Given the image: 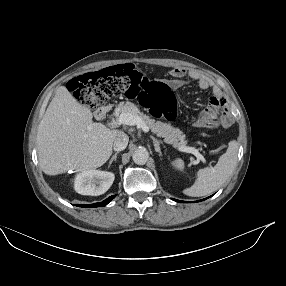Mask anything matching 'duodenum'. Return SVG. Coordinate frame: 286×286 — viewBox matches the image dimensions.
<instances>
[{
	"label": "duodenum",
	"instance_id": "1",
	"mask_svg": "<svg viewBox=\"0 0 286 286\" xmlns=\"http://www.w3.org/2000/svg\"><path fill=\"white\" fill-rule=\"evenodd\" d=\"M109 111H110V107L103 106L96 110L95 115L98 119L103 120L106 117V115L109 113Z\"/></svg>",
	"mask_w": 286,
	"mask_h": 286
}]
</instances>
